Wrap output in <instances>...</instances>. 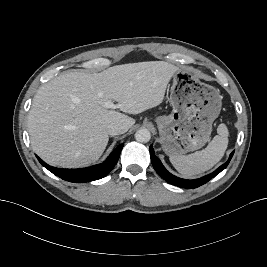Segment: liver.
Here are the masks:
<instances>
[{
	"label": "liver",
	"mask_w": 267,
	"mask_h": 267,
	"mask_svg": "<svg viewBox=\"0 0 267 267\" xmlns=\"http://www.w3.org/2000/svg\"><path fill=\"white\" fill-rule=\"evenodd\" d=\"M175 71L168 62L147 61L94 74H60L43 84L33 98L28 132L34 152L48 164L63 168L97 161L108 144L107 126L118 123L125 133L135 123L104 103L115 101L116 108L129 114L153 108L163 101Z\"/></svg>",
	"instance_id": "obj_1"
}]
</instances>
